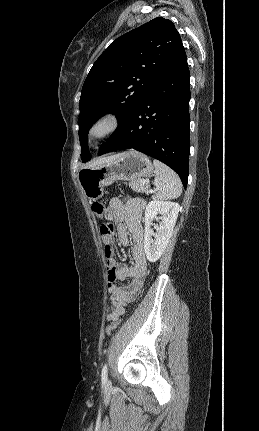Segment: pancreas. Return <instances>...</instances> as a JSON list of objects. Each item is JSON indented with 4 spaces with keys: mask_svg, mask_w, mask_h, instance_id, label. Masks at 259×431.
<instances>
[{
    "mask_svg": "<svg viewBox=\"0 0 259 431\" xmlns=\"http://www.w3.org/2000/svg\"><path fill=\"white\" fill-rule=\"evenodd\" d=\"M129 186L133 189V191L137 193H146V194L149 193L148 184L147 183L143 184L139 179L131 181L129 183Z\"/></svg>",
    "mask_w": 259,
    "mask_h": 431,
    "instance_id": "pancreas-1",
    "label": "pancreas"
}]
</instances>
